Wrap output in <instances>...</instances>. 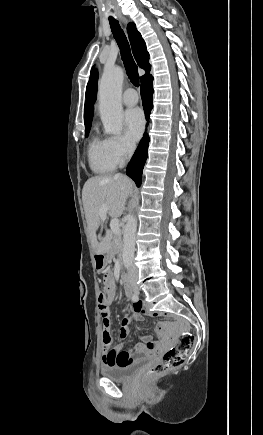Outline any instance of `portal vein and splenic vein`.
<instances>
[{
    "label": "portal vein and splenic vein",
    "instance_id": "obj_1",
    "mask_svg": "<svg viewBox=\"0 0 263 435\" xmlns=\"http://www.w3.org/2000/svg\"><path fill=\"white\" fill-rule=\"evenodd\" d=\"M100 211H101V218L103 220H105L106 219V214L108 212V206L107 205H102ZM110 227H111V230L113 231V233H115V234L119 233L120 232L119 220L117 218L111 219Z\"/></svg>",
    "mask_w": 263,
    "mask_h": 435
}]
</instances>
